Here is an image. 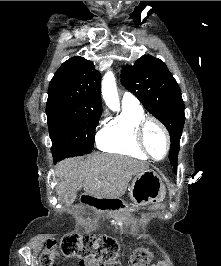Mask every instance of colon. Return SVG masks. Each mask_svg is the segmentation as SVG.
<instances>
[{
  "instance_id": "colon-1",
  "label": "colon",
  "mask_w": 221,
  "mask_h": 266,
  "mask_svg": "<svg viewBox=\"0 0 221 266\" xmlns=\"http://www.w3.org/2000/svg\"><path fill=\"white\" fill-rule=\"evenodd\" d=\"M118 245L110 236L67 234L58 244L49 240L41 256V265L50 266L61 258H79L83 262H100V266H121L117 261ZM151 254L145 248L136 249L131 255L132 266H149Z\"/></svg>"
}]
</instances>
